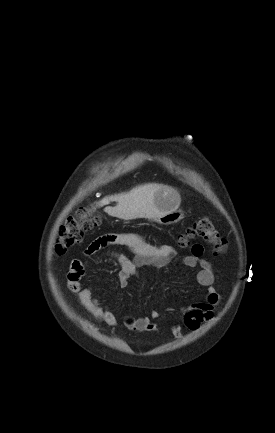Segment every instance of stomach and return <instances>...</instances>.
Masks as SVG:
<instances>
[{
	"label": "stomach",
	"instance_id": "1",
	"mask_svg": "<svg viewBox=\"0 0 275 433\" xmlns=\"http://www.w3.org/2000/svg\"><path fill=\"white\" fill-rule=\"evenodd\" d=\"M154 204L159 212V216L154 218L162 225L177 223L183 218V213L178 211L180 195L168 186H162L155 192Z\"/></svg>",
	"mask_w": 275,
	"mask_h": 433
}]
</instances>
